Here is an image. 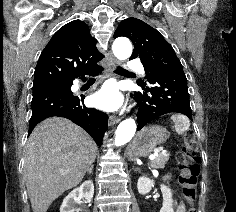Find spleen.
<instances>
[{"label":"spleen","mask_w":236,"mask_h":212,"mask_svg":"<svg viewBox=\"0 0 236 212\" xmlns=\"http://www.w3.org/2000/svg\"><path fill=\"white\" fill-rule=\"evenodd\" d=\"M171 121L175 125V130L178 134H183L189 130L190 121L187 116L182 114H174L171 116Z\"/></svg>","instance_id":"obj_1"}]
</instances>
